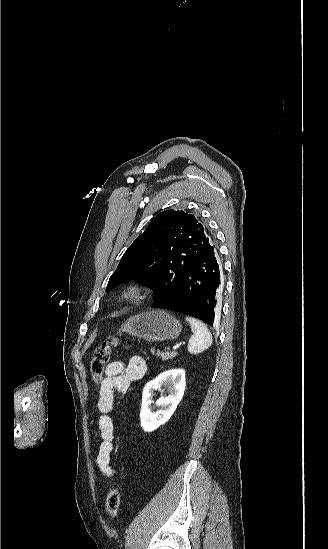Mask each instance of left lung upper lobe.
<instances>
[{"label":"left lung upper lobe","mask_w":328,"mask_h":549,"mask_svg":"<svg viewBox=\"0 0 328 549\" xmlns=\"http://www.w3.org/2000/svg\"><path fill=\"white\" fill-rule=\"evenodd\" d=\"M210 246L203 225L192 214L161 212L125 251L106 289L135 277L155 291V300L162 299Z\"/></svg>","instance_id":"1"}]
</instances>
